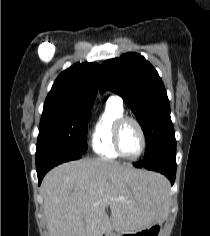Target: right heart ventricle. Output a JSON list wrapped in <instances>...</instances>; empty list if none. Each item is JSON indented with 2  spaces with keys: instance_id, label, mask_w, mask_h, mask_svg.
<instances>
[{
  "instance_id": "obj_1",
  "label": "right heart ventricle",
  "mask_w": 210,
  "mask_h": 236,
  "mask_svg": "<svg viewBox=\"0 0 210 236\" xmlns=\"http://www.w3.org/2000/svg\"><path fill=\"white\" fill-rule=\"evenodd\" d=\"M124 115L122 104L108 99L104 110L98 116L91 135L93 152L105 159H117L119 155L113 145V130L116 120Z\"/></svg>"
}]
</instances>
